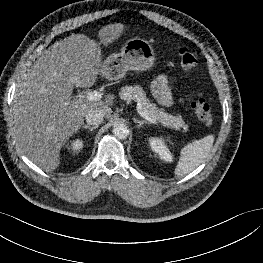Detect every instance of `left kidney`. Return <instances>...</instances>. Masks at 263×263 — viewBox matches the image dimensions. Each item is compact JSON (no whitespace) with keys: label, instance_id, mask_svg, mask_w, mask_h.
I'll use <instances>...</instances> for the list:
<instances>
[{"label":"left kidney","instance_id":"1","mask_svg":"<svg viewBox=\"0 0 263 263\" xmlns=\"http://www.w3.org/2000/svg\"><path fill=\"white\" fill-rule=\"evenodd\" d=\"M150 146L152 150L160 156L161 159L167 162L172 161V155L169 152V149L165 145L164 141L161 138H151L149 139Z\"/></svg>","mask_w":263,"mask_h":263}]
</instances>
